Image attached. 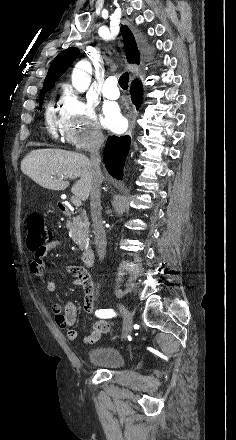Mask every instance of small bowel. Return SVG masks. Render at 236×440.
<instances>
[{
  "instance_id": "obj_1",
  "label": "small bowel",
  "mask_w": 236,
  "mask_h": 440,
  "mask_svg": "<svg viewBox=\"0 0 236 440\" xmlns=\"http://www.w3.org/2000/svg\"><path fill=\"white\" fill-rule=\"evenodd\" d=\"M59 241L54 240L40 249L34 250L33 260L30 264V271L37 277L48 276L47 269L44 263L45 256L52 250L59 246ZM68 271L73 275V284L81 286L84 292L83 307L85 312L90 313L95 304L94 285L89 273L76 266L68 267ZM49 292L57 290V283L55 280L48 277L46 283ZM51 311L54 315V322L60 329L66 330L68 339L74 341L78 338V332L74 328L77 317V307L72 300H67L64 305L53 303ZM109 323L105 320H100L94 323L91 334L87 337V342H96L102 333H109Z\"/></svg>"
}]
</instances>
